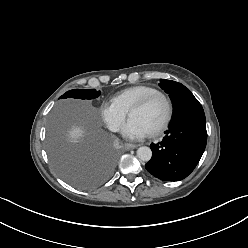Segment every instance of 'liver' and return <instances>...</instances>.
I'll use <instances>...</instances> for the list:
<instances>
[{"mask_svg":"<svg viewBox=\"0 0 248 248\" xmlns=\"http://www.w3.org/2000/svg\"><path fill=\"white\" fill-rule=\"evenodd\" d=\"M86 129L83 126H73L68 131V138L72 141H77L84 136Z\"/></svg>","mask_w":248,"mask_h":248,"instance_id":"1","label":"liver"}]
</instances>
